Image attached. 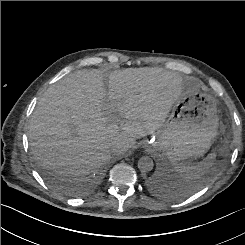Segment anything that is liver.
<instances>
[{
    "mask_svg": "<svg viewBox=\"0 0 245 245\" xmlns=\"http://www.w3.org/2000/svg\"><path fill=\"white\" fill-rule=\"evenodd\" d=\"M78 70L51 85L29 124V145L41 166L82 176L105 164L113 151L164 125L184 80L161 68H126L108 76ZM107 97V99H106ZM123 152V153H124Z\"/></svg>",
    "mask_w": 245,
    "mask_h": 245,
    "instance_id": "1",
    "label": "liver"
}]
</instances>
